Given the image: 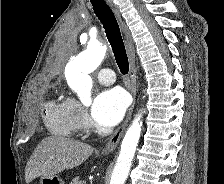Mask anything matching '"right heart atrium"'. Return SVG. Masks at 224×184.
<instances>
[{"mask_svg":"<svg viewBox=\"0 0 224 184\" xmlns=\"http://www.w3.org/2000/svg\"><path fill=\"white\" fill-rule=\"evenodd\" d=\"M69 101L73 109L77 129H86L90 124L86 109L75 99H69Z\"/></svg>","mask_w":224,"mask_h":184,"instance_id":"obj_1","label":"right heart atrium"}]
</instances>
